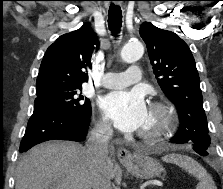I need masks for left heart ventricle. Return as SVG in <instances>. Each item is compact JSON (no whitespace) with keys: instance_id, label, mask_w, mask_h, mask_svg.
<instances>
[{"instance_id":"b2bd125f","label":"left heart ventricle","mask_w":223,"mask_h":189,"mask_svg":"<svg viewBox=\"0 0 223 189\" xmlns=\"http://www.w3.org/2000/svg\"><path fill=\"white\" fill-rule=\"evenodd\" d=\"M155 122V116L148 112L147 120L142 128H147Z\"/></svg>"}]
</instances>
